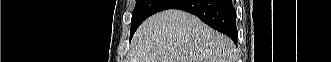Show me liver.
Listing matches in <instances>:
<instances>
[{"label": "liver", "instance_id": "1", "mask_svg": "<svg viewBox=\"0 0 331 62\" xmlns=\"http://www.w3.org/2000/svg\"><path fill=\"white\" fill-rule=\"evenodd\" d=\"M236 47L227 36L196 16L166 10L145 20L136 31L130 62H235Z\"/></svg>", "mask_w": 331, "mask_h": 62}]
</instances>
